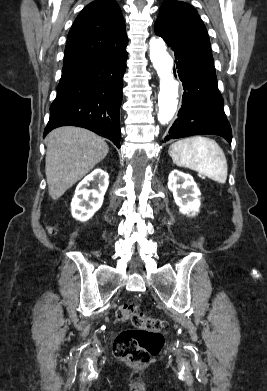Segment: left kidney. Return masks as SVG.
<instances>
[{
    "label": "left kidney",
    "instance_id": "obj_1",
    "mask_svg": "<svg viewBox=\"0 0 267 391\" xmlns=\"http://www.w3.org/2000/svg\"><path fill=\"white\" fill-rule=\"evenodd\" d=\"M168 189L172 191L181 214L194 216L199 211L200 190L189 174L173 170L168 177Z\"/></svg>",
    "mask_w": 267,
    "mask_h": 391
}]
</instances>
